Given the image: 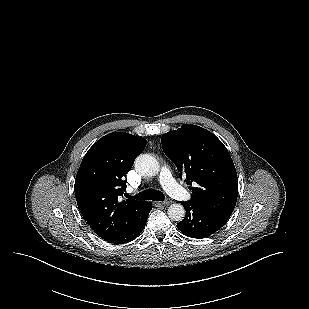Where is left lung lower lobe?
I'll return each mask as SVG.
<instances>
[{
  "mask_svg": "<svg viewBox=\"0 0 309 309\" xmlns=\"http://www.w3.org/2000/svg\"><path fill=\"white\" fill-rule=\"evenodd\" d=\"M186 209L185 218L177 224L178 229L192 238H205L225 225L228 218L217 214L209 208L190 202H183Z\"/></svg>",
  "mask_w": 309,
  "mask_h": 309,
  "instance_id": "0a47b994",
  "label": "left lung lower lobe"
}]
</instances>
